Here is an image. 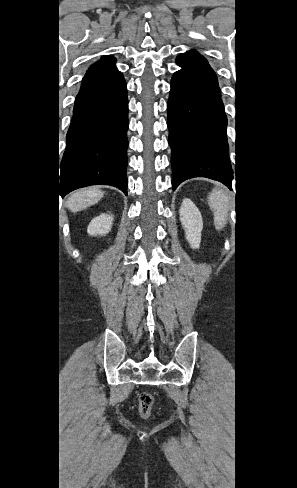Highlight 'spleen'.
I'll return each mask as SVG.
<instances>
[{
    "instance_id": "obj_1",
    "label": "spleen",
    "mask_w": 297,
    "mask_h": 488,
    "mask_svg": "<svg viewBox=\"0 0 297 488\" xmlns=\"http://www.w3.org/2000/svg\"><path fill=\"white\" fill-rule=\"evenodd\" d=\"M209 205L214 212L216 229L224 226L227 214V197L220 191L214 190L209 197Z\"/></svg>"
}]
</instances>
